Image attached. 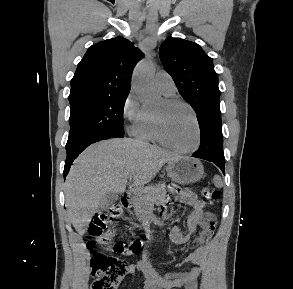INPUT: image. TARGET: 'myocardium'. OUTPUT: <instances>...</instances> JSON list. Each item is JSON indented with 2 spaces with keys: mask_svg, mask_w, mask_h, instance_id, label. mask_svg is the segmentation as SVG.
<instances>
[{
  "mask_svg": "<svg viewBox=\"0 0 293 289\" xmlns=\"http://www.w3.org/2000/svg\"><path fill=\"white\" fill-rule=\"evenodd\" d=\"M164 102L169 105V106H176V105H182L185 106L187 109L192 114L195 127H196V139L194 144L189 147V148H178L174 145H172L170 142L167 141V139L164 137L163 132H162V127H161V122L160 120L153 114L152 115V120H153V132L156 138V141H158L162 146L180 153V154H190L198 150V148L201 145V140H202V132H201V125L199 122L198 115L195 111V109L186 101L178 98H167L164 100Z\"/></svg>",
  "mask_w": 293,
  "mask_h": 289,
  "instance_id": "f54148a6",
  "label": "myocardium"
}]
</instances>
